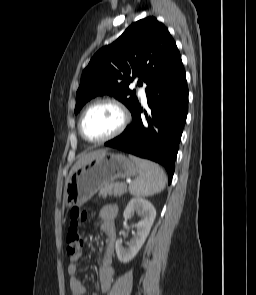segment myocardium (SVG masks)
I'll list each match as a JSON object with an SVG mask.
<instances>
[{
	"mask_svg": "<svg viewBox=\"0 0 256 295\" xmlns=\"http://www.w3.org/2000/svg\"><path fill=\"white\" fill-rule=\"evenodd\" d=\"M101 104H109V105H112L113 107H115L120 113L121 121H120L118 128L110 135H108L104 138H101V139H96V140L90 139L89 137L86 136V134L84 132V128H83L84 120H85L87 114L93 108H95ZM128 122H129V113H128L127 109L118 100H116L114 98H110V97L100 98V99L94 101L92 104H90L85 109L83 114L81 115L80 122H79V132H80L81 136L83 137V139L86 140L87 142L92 143V144H102V143H105V142L112 140V139L116 138L117 136H119L126 128Z\"/></svg>",
	"mask_w": 256,
	"mask_h": 295,
	"instance_id": "f54148a6",
	"label": "myocardium"
}]
</instances>
